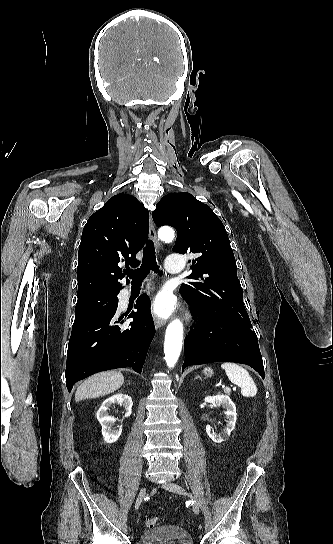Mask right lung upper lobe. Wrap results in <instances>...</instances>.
Segmentation results:
<instances>
[{
    "label": "right lung upper lobe",
    "mask_w": 333,
    "mask_h": 544,
    "mask_svg": "<svg viewBox=\"0 0 333 544\" xmlns=\"http://www.w3.org/2000/svg\"><path fill=\"white\" fill-rule=\"evenodd\" d=\"M149 212L134 196L117 194L88 219L78 251V300L123 288L120 265L137 266Z\"/></svg>",
    "instance_id": "cb5924a9"
}]
</instances>
